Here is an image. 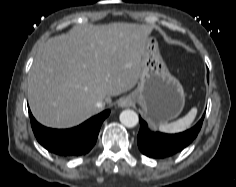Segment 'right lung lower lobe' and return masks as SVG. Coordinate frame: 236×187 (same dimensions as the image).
I'll return each mask as SVG.
<instances>
[{
    "label": "right lung lower lobe",
    "mask_w": 236,
    "mask_h": 187,
    "mask_svg": "<svg viewBox=\"0 0 236 187\" xmlns=\"http://www.w3.org/2000/svg\"><path fill=\"white\" fill-rule=\"evenodd\" d=\"M109 110L90 118L71 129H52L38 123L29 111L31 126L37 141L49 152L61 157L87 154L95 145L100 127Z\"/></svg>",
    "instance_id": "right-lung-lower-lobe-1"
}]
</instances>
